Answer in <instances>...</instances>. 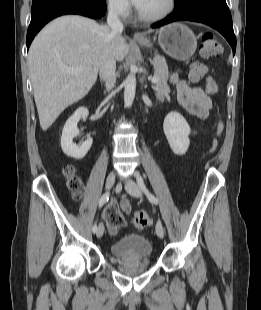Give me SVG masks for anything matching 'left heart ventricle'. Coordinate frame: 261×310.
<instances>
[{
    "label": "left heart ventricle",
    "instance_id": "left-heart-ventricle-1",
    "mask_svg": "<svg viewBox=\"0 0 261 310\" xmlns=\"http://www.w3.org/2000/svg\"><path fill=\"white\" fill-rule=\"evenodd\" d=\"M167 5V0H143L138 7L139 11L146 15H153L162 11Z\"/></svg>",
    "mask_w": 261,
    "mask_h": 310
}]
</instances>
